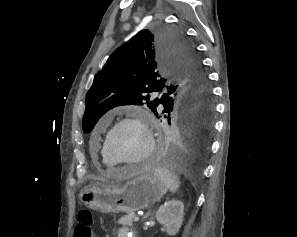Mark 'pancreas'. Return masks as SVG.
I'll return each mask as SVG.
<instances>
[{"label":"pancreas","instance_id":"obj_1","mask_svg":"<svg viewBox=\"0 0 297 237\" xmlns=\"http://www.w3.org/2000/svg\"><path fill=\"white\" fill-rule=\"evenodd\" d=\"M136 217L135 213H129L118 220V224L123 226H132L134 218Z\"/></svg>","mask_w":297,"mask_h":237}]
</instances>
